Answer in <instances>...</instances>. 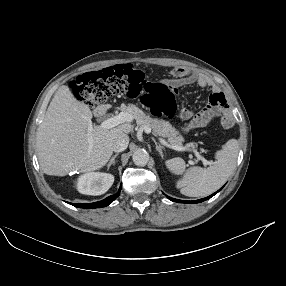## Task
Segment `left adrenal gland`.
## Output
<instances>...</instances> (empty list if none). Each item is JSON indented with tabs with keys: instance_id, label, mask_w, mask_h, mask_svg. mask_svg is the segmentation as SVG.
<instances>
[{
	"instance_id": "obj_1",
	"label": "left adrenal gland",
	"mask_w": 286,
	"mask_h": 286,
	"mask_svg": "<svg viewBox=\"0 0 286 286\" xmlns=\"http://www.w3.org/2000/svg\"><path fill=\"white\" fill-rule=\"evenodd\" d=\"M152 140L153 142L155 143V146H156V150L158 151V153L160 154V156L163 158L164 155H163V152H162V146L160 144L157 143V141L155 140L154 137H152Z\"/></svg>"
}]
</instances>
